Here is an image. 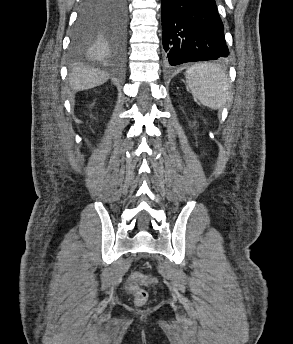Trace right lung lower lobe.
I'll list each match as a JSON object with an SVG mask.
<instances>
[{"label": "right lung lower lobe", "instance_id": "98d812e1", "mask_svg": "<svg viewBox=\"0 0 293 344\" xmlns=\"http://www.w3.org/2000/svg\"><path fill=\"white\" fill-rule=\"evenodd\" d=\"M108 2H116L120 5V20L115 22L114 26H110L107 31L112 37V47L121 49L123 47L126 34V0H82V6L84 8L91 7L101 10V6Z\"/></svg>", "mask_w": 293, "mask_h": 344}]
</instances>
